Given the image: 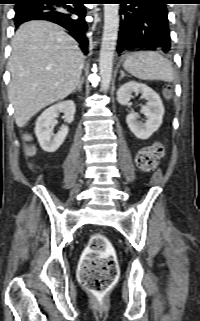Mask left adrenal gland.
<instances>
[{
	"mask_svg": "<svg viewBox=\"0 0 200 321\" xmlns=\"http://www.w3.org/2000/svg\"><path fill=\"white\" fill-rule=\"evenodd\" d=\"M124 76H126V74L124 73V71L121 70L119 80H121Z\"/></svg>",
	"mask_w": 200,
	"mask_h": 321,
	"instance_id": "left-adrenal-gland-1",
	"label": "left adrenal gland"
}]
</instances>
